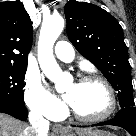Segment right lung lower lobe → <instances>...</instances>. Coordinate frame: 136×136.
<instances>
[{"label": "right lung lower lobe", "mask_w": 136, "mask_h": 136, "mask_svg": "<svg viewBox=\"0 0 136 136\" xmlns=\"http://www.w3.org/2000/svg\"><path fill=\"white\" fill-rule=\"evenodd\" d=\"M0 112L9 114L21 121L27 119V109L19 105H0Z\"/></svg>", "instance_id": "1"}]
</instances>
